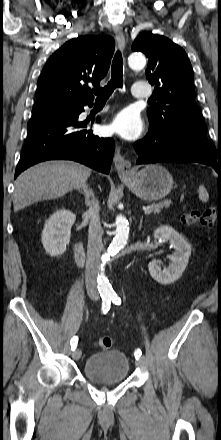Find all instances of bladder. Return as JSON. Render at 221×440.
I'll return each instance as SVG.
<instances>
[{
    "label": "bladder",
    "instance_id": "bladder-1",
    "mask_svg": "<svg viewBox=\"0 0 221 440\" xmlns=\"http://www.w3.org/2000/svg\"><path fill=\"white\" fill-rule=\"evenodd\" d=\"M84 376L97 383H121L128 378L130 364L121 350L91 355L84 364Z\"/></svg>",
    "mask_w": 221,
    "mask_h": 440
}]
</instances>
